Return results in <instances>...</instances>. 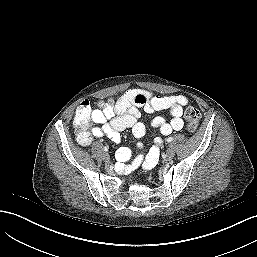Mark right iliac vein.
Masks as SVG:
<instances>
[{"label":"right iliac vein","instance_id":"1","mask_svg":"<svg viewBox=\"0 0 257 257\" xmlns=\"http://www.w3.org/2000/svg\"><path fill=\"white\" fill-rule=\"evenodd\" d=\"M103 160H104L105 162H107V163L110 162V156H109L108 153H104V154H103Z\"/></svg>","mask_w":257,"mask_h":257}]
</instances>
